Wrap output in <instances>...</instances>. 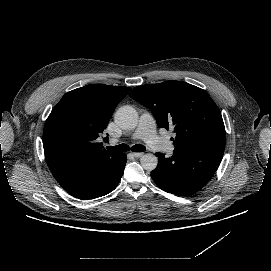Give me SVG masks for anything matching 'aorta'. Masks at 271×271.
Instances as JSON below:
<instances>
[{
    "label": "aorta",
    "instance_id": "1",
    "mask_svg": "<svg viewBox=\"0 0 271 271\" xmlns=\"http://www.w3.org/2000/svg\"><path fill=\"white\" fill-rule=\"evenodd\" d=\"M115 123L124 130H134L139 123L138 112L129 105L120 107L114 116ZM141 166L146 171L154 170L158 165V158L154 154H144L141 159Z\"/></svg>",
    "mask_w": 271,
    "mask_h": 271
}]
</instances>
